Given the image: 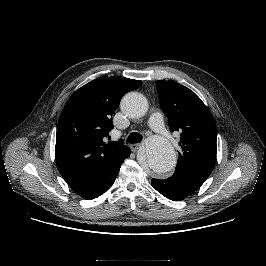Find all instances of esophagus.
Returning a JSON list of instances; mask_svg holds the SVG:
<instances>
[{
	"instance_id": "obj_1",
	"label": "esophagus",
	"mask_w": 266,
	"mask_h": 266,
	"mask_svg": "<svg viewBox=\"0 0 266 266\" xmlns=\"http://www.w3.org/2000/svg\"><path fill=\"white\" fill-rule=\"evenodd\" d=\"M140 147V144L139 143H136V144H131L130 145V148L133 152H136L137 149Z\"/></svg>"
}]
</instances>
